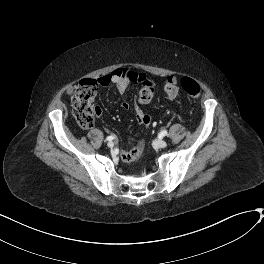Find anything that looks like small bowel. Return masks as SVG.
Returning a JSON list of instances; mask_svg holds the SVG:
<instances>
[{
	"label": "small bowel",
	"mask_w": 264,
	"mask_h": 264,
	"mask_svg": "<svg viewBox=\"0 0 264 264\" xmlns=\"http://www.w3.org/2000/svg\"><path fill=\"white\" fill-rule=\"evenodd\" d=\"M148 79L147 75L143 71H139L131 68L117 69L113 73L103 76L98 79V84L106 86L108 84H114L119 93L123 94L130 84L140 85L144 80ZM121 108L123 110H129L131 108L130 103L127 101L121 102ZM99 114L101 109L97 107ZM137 122L140 126L146 128L150 124V117L145 113L143 107L139 103H134L132 106ZM123 158L127 157L124 153Z\"/></svg>",
	"instance_id": "c3829d8e"
}]
</instances>
